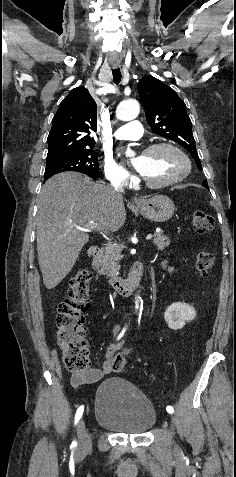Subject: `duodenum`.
Masks as SVG:
<instances>
[{"instance_id":"410a0bca","label":"duodenum","mask_w":236,"mask_h":477,"mask_svg":"<svg viewBox=\"0 0 236 477\" xmlns=\"http://www.w3.org/2000/svg\"><path fill=\"white\" fill-rule=\"evenodd\" d=\"M89 257L91 259V267L93 270H98L100 267L101 249L93 246L89 249ZM142 264L137 261L127 278L111 277L108 280L110 287L122 296L130 295L139 285L142 276Z\"/></svg>"}]
</instances>
